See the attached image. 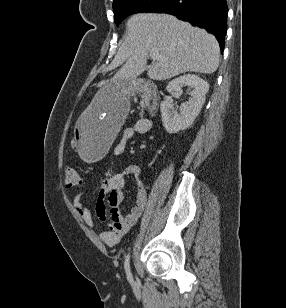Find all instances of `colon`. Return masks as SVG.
<instances>
[{"label":"colon","mask_w":286,"mask_h":308,"mask_svg":"<svg viewBox=\"0 0 286 308\" xmlns=\"http://www.w3.org/2000/svg\"><path fill=\"white\" fill-rule=\"evenodd\" d=\"M65 184L69 188H76L82 185V178L74 168H66L64 171Z\"/></svg>","instance_id":"1"}]
</instances>
